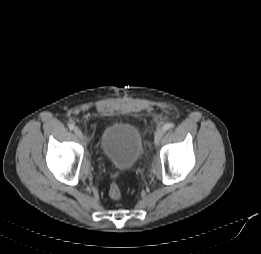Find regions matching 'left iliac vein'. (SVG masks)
Listing matches in <instances>:
<instances>
[{
	"label": "left iliac vein",
	"mask_w": 261,
	"mask_h": 254,
	"mask_svg": "<svg viewBox=\"0 0 261 254\" xmlns=\"http://www.w3.org/2000/svg\"><path fill=\"white\" fill-rule=\"evenodd\" d=\"M163 134H164L163 129H160L155 133V136H154V144L155 145H158L160 143V140H161Z\"/></svg>",
	"instance_id": "left-iliac-vein-1"
}]
</instances>
